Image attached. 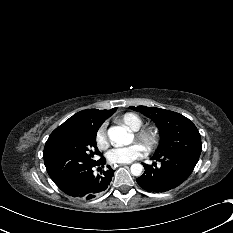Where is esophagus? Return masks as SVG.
<instances>
[{
  "label": "esophagus",
  "instance_id": "34e87169",
  "mask_svg": "<svg viewBox=\"0 0 233 233\" xmlns=\"http://www.w3.org/2000/svg\"><path fill=\"white\" fill-rule=\"evenodd\" d=\"M125 165H127V164H124V163L119 164V166H125Z\"/></svg>",
  "mask_w": 233,
  "mask_h": 233
}]
</instances>
